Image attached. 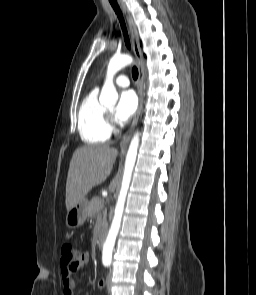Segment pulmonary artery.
<instances>
[{
    "label": "pulmonary artery",
    "mask_w": 256,
    "mask_h": 295,
    "mask_svg": "<svg viewBox=\"0 0 256 295\" xmlns=\"http://www.w3.org/2000/svg\"><path fill=\"white\" fill-rule=\"evenodd\" d=\"M115 83L119 86V87H123L126 88L130 85V81L128 79L127 76L125 75H119L116 77L115 79Z\"/></svg>",
    "instance_id": "1"
}]
</instances>
